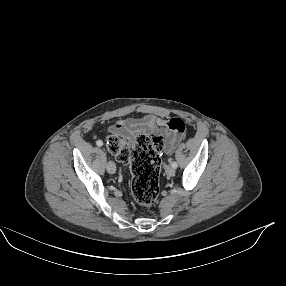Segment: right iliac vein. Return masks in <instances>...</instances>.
Listing matches in <instances>:
<instances>
[{"instance_id":"1","label":"right iliac vein","mask_w":286,"mask_h":286,"mask_svg":"<svg viewBox=\"0 0 286 286\" xmlns=\"http://www.w3.org/2000/svg\"><path fill=\"white\" fill-rule=\"evenodd\" d=\"M107 171L110 173V174H114L116 172V165L114 164L113 161H109L107 163Z\"/></svg>"}]
</instances>
